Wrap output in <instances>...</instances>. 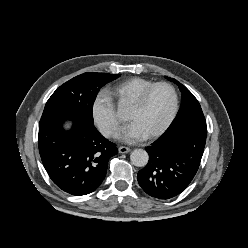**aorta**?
<instances>
[{"label":"aorta","mask_w":248,"mask_h":248,"mask_svg":"<svg viewBox=\"0 0 248 248\" xmlns=\"http://www.w3.org/2000/svg\"><path fill=\"white\" fill-rule=\"evenodd\" d=\"M131 163L137 167H144L148 163V153L143 149H135L130 155Z\"/></svg>","instance_id":"aorta-1"}]
</instances>
